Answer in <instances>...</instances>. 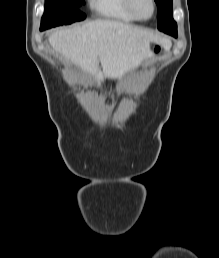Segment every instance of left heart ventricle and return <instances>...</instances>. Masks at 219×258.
I'll list each match as a JSON object with an SVG mask.
<instances>
[{"mask_svg": "<svg viewBox=\"0 0 219 258\" xmlns=\"http://www.w3.org/2000/svg\"><path fill=\"white\" fill-rule=\"evenodd\" d=\"M134 6L137 13L142 17H148L152 12L150 0H134Z\"/></svg>", "mask_w": 219, "mask_h": 258, "instance_id": "1", "label": "left heart ventricle"}]
</instances>
